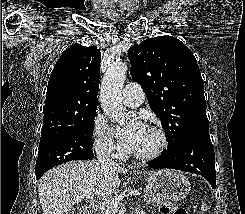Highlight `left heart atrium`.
Returning <instances> with one entry per match:
<instances>
[{
  "label": "left heart atrium",
  "instance_id": "obj_1",
  "mask_svg": "<svg viewBox=\"0 0 245 214\" xmlns=\"http://www.w3.org/2000/svg\"><path fill=\"white\" fill-rule=\"evenodd\" d=\"M145 129L146 127L141 121L134 120L126 128L119 130L118 135L124 147L131 150Z\"/></svg>",
  "mask_w": 245,
  "mask_h": 214
}]
</instances>
